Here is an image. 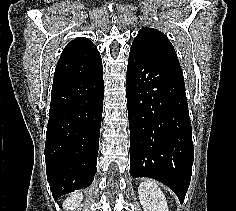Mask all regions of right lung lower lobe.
<instances>
[{"label":"right lung lower lobe","mask_w":236,"mask_h":211,"mask_svg":"<svg viewBox=\"0 0 236 211\" xmlns=\"http://www.w3.org/2000/svg\"><path fill=\"white\" fill-rule=\"evenodd\" d=\"M103 68L52 85L46 132V173L54 199L93 182L103 112Z\"/></svg>","instance_id":"1"}]
</instances>
